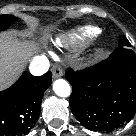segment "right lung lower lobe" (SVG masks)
I'll use <instances>...</instances> for the list:
<instances>
[{
    "label": "right lung lower lobe",
    "instance_id": "98d812e1",
    "mask_svg": "<svg viewBox=\"0 0 136 136\" xmlns=\"http://www.w3.org/2000/svg\"><path fill=\"white\" fill-rule=\"evenodd\" d=\"M52 74L33 76L24 72L10 88L0 92V136H21L34 127Z\"/></svg>",
    "mask_w": 136,
    "mask_h": 136
}]
</instances>
